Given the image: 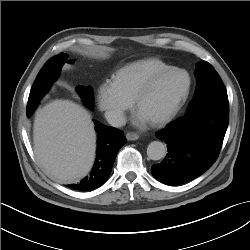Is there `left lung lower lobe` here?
<instances>
[{
    "mask_svg": "<svg viewBox=\"0 0 250 250\" xmlns=\"http://www.w3.org/2000/svg\"><path fill=\"white\" fill-rule=\"evenodd\" d=\"M229 122L225 87L201 95L186 114L170 123L156 137L167 144L164 160L151 167L153 176L167 185L199 177L216 161Z\"/></svg>",
    "mask_w": 250,
    "mask_h": 250,
    "instance_id": "obj_1",
    "label": "left lung lower lobe"
}]
</instances>
